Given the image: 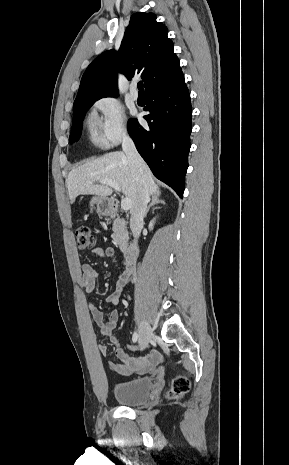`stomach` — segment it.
Wrapping results in <instances>:
<instances>
[{
  "label": "stomach",
  "mask_w": 289,
  "mask_h": 465,
  "mask_svg": "<svg viewBox=\"0 0 289 465\" xmlns=\"http://www.w3.org/2000/svg\"><path fill=\"white\" fill-rule=\"evenodd\" d=\"M90 206L91 209L96 208L99 215H107L110 212L111 203L107 197L98 196L92 198Z\"/></svg>",
  "instance_id": "0dacf381"
}]
</instances>
